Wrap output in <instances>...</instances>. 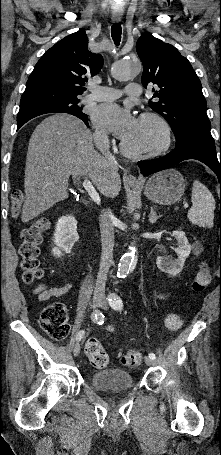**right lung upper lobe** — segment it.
<instances>
[{
	"label": "right lung upper lobe",
	"mask_w": 221,
	"mask_h": 455,
	"mask_svg": "<svg viewBox=\"0 0 221 455\" xmlns=\"http://www.w3.org/2000/svg\"><path fill=\"white\" fill-rule=\"evenodd\" d=\"M87 43L85 31L80 30L50 48L31 73L20 108L77 98L82 94L87 77L96 75L103 66L102 55L88 51Z\"/></svg>",
	"instance_id": "1"
}]
</instances>
